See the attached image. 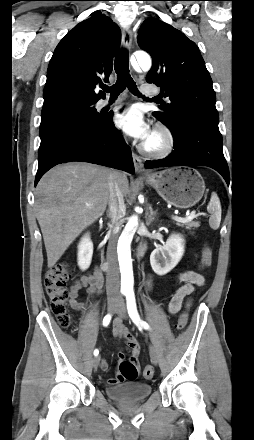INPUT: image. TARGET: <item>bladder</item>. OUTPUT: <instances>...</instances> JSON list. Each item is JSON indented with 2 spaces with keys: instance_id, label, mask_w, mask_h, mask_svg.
Returning <instances> with one entry per match:
<instances>
[{
  "instance_id": "obj_1",
  "label": "bladder",
  "mask_w": 254,
  "mask_h": 440,
  "mask_svg": "<svg viewBox=\"0 0 254 440\" xmlns=\"http://www.w3.org/2000/svg\"><path fill=\"white\" fill-rule=\"evenodd\" d=\"M152 391V385L146 382L124 383L105 388L108 397L123 404L141 402L148 398Z\"/></svg>"
}]
</instances>
